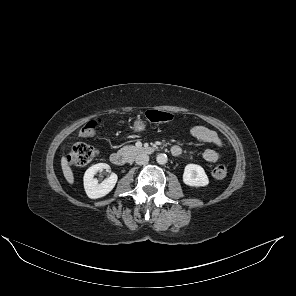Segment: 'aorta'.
I'll return each mask as SVG.
<instances>
[{
  "label": "aorta",
  "instance_id": "1",
  "mask_svg": "<svg viewBox=\"0 0 296 296\" xmlns=\"http://www.w3.org/2000/svg\"><path fill=\"white\" fill-rule=\"evenodd\" d=\"M156 161L160 165L166 164L167 161H168L167 155L163 154V153L158 154L157 157H156Z\"/></svg>",
  "mask_w": 296,
  "mask_h": 296
}]
</instances>
